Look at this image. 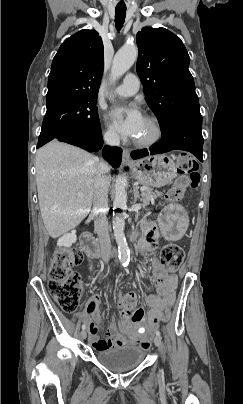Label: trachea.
<instances>
[{
	"label": "trachea",
	"instance_id": "trachea-1",
	"mask_svg": "<svg viewBox=\"0 0 243 404\" xmlns=\"http://www.w3.org/2000/svg\"><path fill=\"white\" fill-rule=\"evenodd\" d=\"M126 6H116L115 8V27L119 32L124 24L125 16H126Z\"/></svg>",
	"mask_w": 243,
	"mask_h": 404
}]
</instances>
